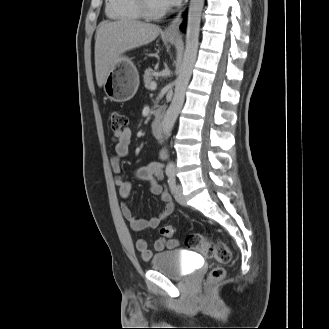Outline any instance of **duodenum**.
Wrapping results in <instances>:
<instances>
[{
    "mask_svg": "<svg viewBox=\"0 0 329 329\" xmlns=\"http://www.w3.org/2000/svg\"><path fill=\"white\" fill-rule=\"evenodd\" d=\"M163 118L164 110L162 108H158L155 111L153 120L151 122V130L156 137H161L163 134Z\"/></svg>",
    "mask_w": 329,
    "mask_h": 329,
    "instance_id": "1",
    "label": "duodenum"
}]
</instances>
